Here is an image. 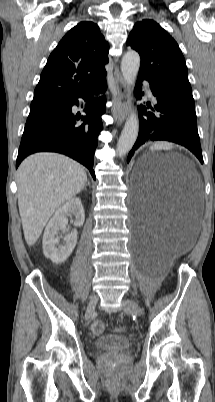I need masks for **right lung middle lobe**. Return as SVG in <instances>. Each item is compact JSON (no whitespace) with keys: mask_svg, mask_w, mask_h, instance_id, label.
Segmentation results:
<instances>
[{"mask_svg":"<svg viewBox=\"0 0 215 402\" xmlns=\"http://www.w3.org/2000/svg\"><path fill=\"white\" fill-rule=\"evenodd\" d=\"M64 102L65 100H45L32 102L30 106V114L24 130L29 129L58 113L63 108Z\"/></svg>","mask_w":215,"mask_h":402,"instance_id":"obj_1","label":"right lung middle lobe"}]
</instances>
